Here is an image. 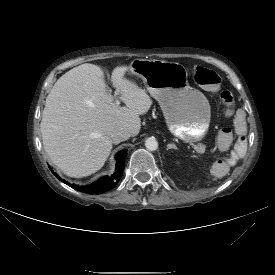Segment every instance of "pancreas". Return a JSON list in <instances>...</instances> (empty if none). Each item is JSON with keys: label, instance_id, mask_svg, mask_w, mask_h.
Returning a JSON list of instances; mask_svg holds the SVG:
<instances>
[{"label": "pancreas", "instance_id": "obj_1", "mask_svg": "<svg viewBox=\"0 0 275 275\" xmlns=\"http://www.w3.org/2000/svg\"><path fill=\"white\" fill-rule=\"evenodd\" d=\"M203 146H204V145L199 144L197 147H199V148H200V147H203Z\"/></svg>", "mask_w": 275, "mask_h": 275}]
</instances>
